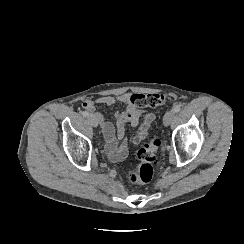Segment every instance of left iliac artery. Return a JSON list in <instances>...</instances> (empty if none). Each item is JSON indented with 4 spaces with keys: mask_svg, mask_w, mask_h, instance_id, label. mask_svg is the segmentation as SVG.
Listing matches in <instances>:
<instances>
[{
    "mask_svg": "<svg viewBox=\"0 0 244 244\" xmlns=\"http://www.w3.org/2000/svg\"><path fill=\"white\" fill-rule=\"evenodd\" d=\"M175 113L179 112L181 110V107L179 105H176L172 109Z\"/></svg>",
    "mask_w": 244,
    "mask_h": 244,
    "instance_id": "obj_1",
    "label": "left iliac artery"
}]
</instances>
